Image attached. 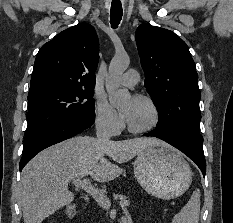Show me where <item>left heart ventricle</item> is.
<instances>
[{
    "mask_svg": "<svg viewBox=\"0 0 233 223\" xmlns=\"http://www.w3.org/2000/svg\"><path fill=\"white\" fill-rule=\"evenodd\" d=\"M130 100L125 101L121 106H125ZM136 107L133 119L129 123L136 129H145L150 127L154 122V115L150 106L141 99L136 98Z\"/></svg>",
    "mask_w": 233,
    "mask_h": 223,
    "instance_id": "obj_1",
    "label": "left heart ventricle"
}]
</instances>
